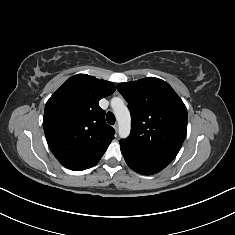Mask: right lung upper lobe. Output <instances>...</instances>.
I'll return each instance as SVG.
<instances>
[{
    "label": "right lung upper lobe",
    "instance_id": "obj_1",
    "mask_svg": "<svg viewBox=\"0 0 235 235\" xmlns=\"http://www.w3.org/2000/svg\"><path fill=\"white\" fill-rule=\"evenodd\" d=\"M115 90L109 81L77 74L47 101L43 118L46 140L66 168L81 169L97 163L114 139L115 131L106 124L98 102Z\"/></svg>",
    "mask_w": 235,
    "mask_h": 235
}]
</instances>
